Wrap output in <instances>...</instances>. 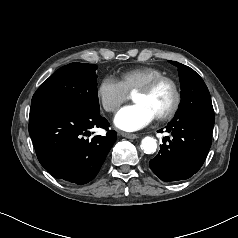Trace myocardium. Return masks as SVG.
Listing matches in <instances>:
<instances>
[{
  "label": "myocardium",
  "mask_w": 238,
  "mask_h": 238,
  "mask_svg": "<svg viewBox=\"0 0 238 238\" xmlns=\"http://www.w3.org/2000/svg\"><path fill=\"white\" fill-rule=\"evenodd\" d=\"M163 83H168L171 86L174 93V101L166 113L156 116L160 121H166L173 118L180 108L182 96L178 83L173 78L164 75L150 80L145 85L134 91L135 93L149 94Z\"/></svg>",
  "instance_id": "obj_1"
}]
</instances>
